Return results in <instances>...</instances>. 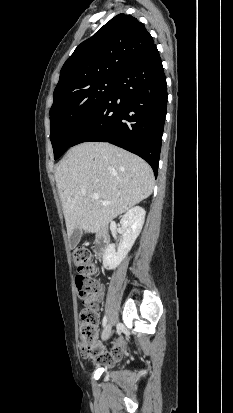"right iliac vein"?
Segmentation results:
<instances>
[{
	"label": "right iliac vein",
	"mask_w": 233,
	"mask_h": 413,
	"mask_svg": "<svg viewBox=\"0 0 233 413\" xmlns=\"http://www.w3.org/2000/svg\"><path fill=\"white\" fill-rule=\"evenodd\" d=\"M111 335V325L108 324L102 332V340L106 341Z\"/></svg>",
	"instance_id": "1"
}]
</instances>
